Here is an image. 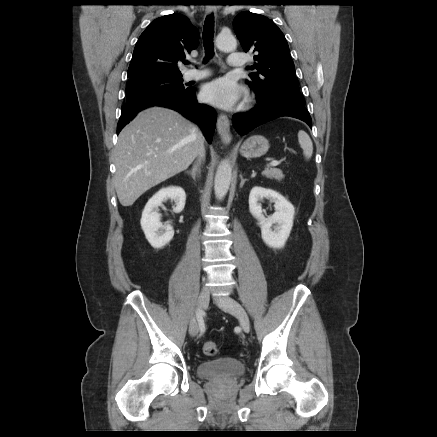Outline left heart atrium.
<instances>
[{"instance_id": "1", "label": "left heart atrium", "mask_w": 437, "mask_h": 437, "mask_svg": "<svg viewBox=\"0 0 437 437\" xmlns=\"http://www.w3.org/2000/svg\"><path fill=\"white\" fill-rule=\"evenodd\" d=\"M243 95V89L228 78L216 79L204 86L205 101L222 109H233Z\"/></svg>"}]
</instances>
